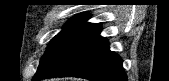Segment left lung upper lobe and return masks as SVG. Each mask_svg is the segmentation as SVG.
I'll return each instance as SVG.
<instances>
[{
  "mask_svg": "<svg viewBox=\"0 0 169 81\" xmlns=\"http://www.w3.org/2000/svg\"><path fill=\"white\" fill-rule=\"evenodd\" d=\"M89 18L88 14H80L78 16L70 19L68 24L63 28V30L58 33L49 43L46 52L41 58L39 67L33 80L48 72L53 65L58 61L68 44L71 40L83 29L91 25L87 20Z\"/></svg>",
  "mask_w": 169,
  "mask_h": 81,
  "instance_id": "left-lung-upper-lobe-1",
  "label": "left lung upper lobe"
}]
</instances>
